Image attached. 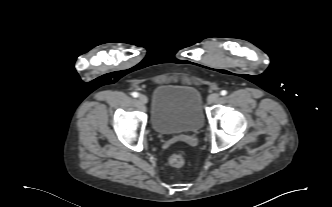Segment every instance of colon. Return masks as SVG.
<instances>
[{
  "label": "colon",
  "instance_id": "5ec220e1",
  "mask_svg": "<svg viewBox=\"0 0 332 207\" xmlns=\"http://www.w3.org/2000/svg\"><path fill=\"white\" fill-rule=\"evenodd\" d=\"M169 163L173 167H181L184 164V157L179 153H175L169 158Z\"/></svg>",
  "mask_w": 332,
  "mask_h": 207
}]
</instances>
